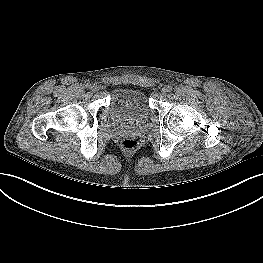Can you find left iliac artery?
<instances>
[{"label":"left iliac artery","instance_id":"obj_1","mask_svg":"<svg viewBox=\"0 0 263 263\" xmlns=\"http://www.w3.org/2000/svg\"><path fill=\"white\" fill-rule=\"evenodd\" d=\"M167 90H168V92L172 91V86L168 85Z\"/></svg>","mask_w":263,"mask_h":263}]
</instances>
